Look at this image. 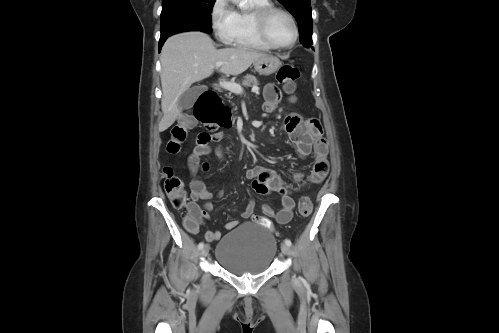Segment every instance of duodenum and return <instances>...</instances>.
I'll list each match as a JSON object with an SVG mask.
<instances>
[{
  "instance_id": "1",
  "label": "duodenum",
  "mask_w": 499,
  "mask_h": 333,
  "mask_svg": "<svg viewBox=\"0 0 499 333\" xmlns=\"http://www.w3.org/2000/svg\"><path fill=\"white\" fill-rule=\"evenodd\" d=\"M208 92H214L213 90H208L207 92L203 93L197 100L196 103V115L200 119H211L219 115V112L217 111V107L210 105L207 103V95Z\"/></svg>"
}]
</instances>
